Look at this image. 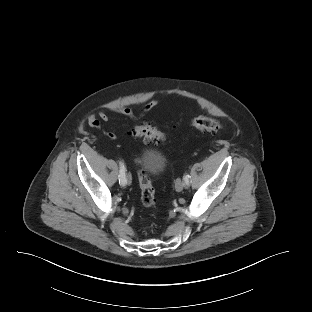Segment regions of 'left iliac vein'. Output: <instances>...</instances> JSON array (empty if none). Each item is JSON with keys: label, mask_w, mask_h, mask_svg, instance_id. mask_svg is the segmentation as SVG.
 Instances as JSON below:
<instances>
[{"label": "left iliac vein", "mask_w": 312, "mask_h": 312, "mask_svg": "<svg viewBox=\"0 0 312 312\" xmlns=\"http://www.w3.org/2000/svg\"><path fill=\"white\" fill-rule=\"evenodd\" d=\"M185 187V182L181 179H177L176 183H175V189L180 192L183 190V188Z\"/></svg>", "instance_id": "obj_1"}]
</instances>
